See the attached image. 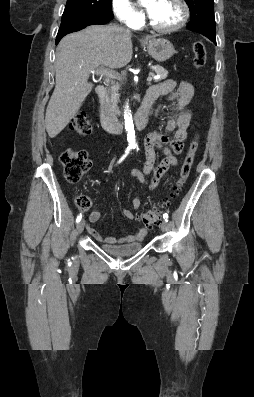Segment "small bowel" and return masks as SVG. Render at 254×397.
Masks as SVG:
<instances>
[{
    "instance_id": "small-bowel-1",
    "label": "small bowel",
    "mask_w": 254,
    "mask_h": 397,
    "mask_svg": "<svg viewBox=\"0 0 254 397\" xmlns=\"http://www.w3.org/2000/svg\"><path fill=\"white\" fill-rule=\"evenodd\" d=\"M194 95V87L190 82H177L173 79H167L156 85H153L147 92L154 102L160 96H166L169 100L175 101L174 115L166 123L165 130L169 133L174 132L172 138L158 132H150L144 140L145 163L142 170H132L130 175L135 177L141 185L148 186L149 189L156 188L159 183L167 176L170 168L177 165V155L183 151L184 141L187 137V129L193 117V113L187 110ZM156 150H160L164 157L155 167ZM151 177L149 178V176ZM134 209L141 207V201L138 196L132 199ZM121 214L129 220L134 219L135 215L128 209H121ZM101 213L95 206L90 214L89 220L94 223L100 219ZM87 232L98 242L114 245L123 242H139L144 239L147 230L140 228L136 233L125 238L102 236L97 230L90 225L86 226Z\"/></svg>"
}]
</instances>
